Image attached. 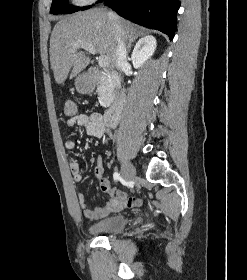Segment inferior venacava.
Wrapping results in <instances>:
<instances>
[{
    "instance_id": "obj_1",
    "label": "inferior vena cava",
    "mask_w": 247,
    "mask_h": 280,
    "mask_svg": "<svg viewBox=\"0 0 247 280\" xmlns=\"http://www.w3.org/2000/svg\"><path fill=\"white\" fill-rule=\"evenodd\" d=\"M108 15L113 20V30L117 42L115 48V64L116 67L121 70L127 64L126 42L122 38L123 28L120 22L117 20V16L113 12H108Z\"/></svg>"
}]
</instances>
